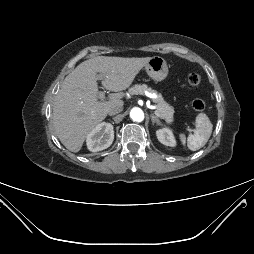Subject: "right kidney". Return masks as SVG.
<instances>
[{"instance_id": "ca27d5eb", "label": "right kidney", "mask_w": 254, "mask_h": 254, "mask_svg": "<svg viewBox=\"0 0 254 254\" xmlns=\"http://www.w3.org/2000/svg\"><path fill=\"white\" fill-rule=\"evenodd\" d=\"M114 140V130L111 123L98 124L87 136V147L92 152L107 149Z\"/></svg>"}]
</instances>
